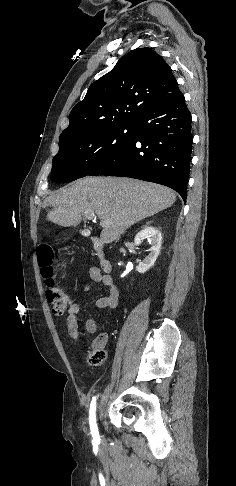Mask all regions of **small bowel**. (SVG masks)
Listing matches in <instances>:
<instances>
[{
	"label": "small bowel",
	"mask_w": 236,
	"mask_h": 486,
	"mask_svg": "<svg viewBox=\"0 0 236 486\" xmlns=\"http://www.w3.org/2000/svg\"><path fill=\"white\" fill-rule=\"evenodd\" d=\"M89 275L92 281L96 283L103 284L107 290L108 295L104 297H100L95 301V306L101 309H108L113 310L118 306V288L114 284V281L110 275H105L101 272V270L97 267H92L89 270ZM90 289L89 285L84 287L85 291ZM80 311L79 304H73L67 311V329L69 336L74 340L76 344H79L78 341V313ZM97 324L95 319L89 318L85 322V329L88 333H94L96 331ZM107 342V335L105 333L100 334L96 339L93 341V347H103Z\"/></svg>",
	"instance_id": "c3829d8e"
}]
</instances>
